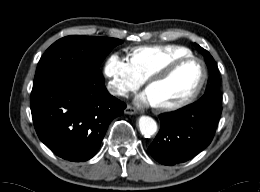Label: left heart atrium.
<instances>
[{
  "mask_svg": "<svg viewBox=\"0 0 260 192\" xmlns=\"http://www.w3.org/2000/svg\"><path fill=\"white\" fill-rule=\"evenodd\" d=\"M148 100L153 101V97L151 94H147Z\"/></svg>",
  "mask_w": 260,
  "mask_h": 192,
  "instance_id": "39dd6f15",
  "label": "left heart atrium"
}]
</instances>
